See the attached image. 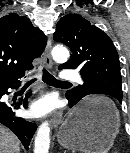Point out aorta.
Instances as JSON below:
<instances>
[{"label": "aorta", "mask_w": 130, "mask_h": 153, "mask_svg": "<svg viewBox=\"0 0 130 153\" xmlns=\"http://www.w3.org/2000/svg\"><path fill=\"white\" fill-rule=\"evenodd\" d=\"M52 57L55 61L65 62L69 57V52L65 47L56 46L52 49ZM50 145V126L47 121L43 122L35 138L34 153H48Z\"/></svg>", "instance_id": "762f6f07"}]
</instances>
